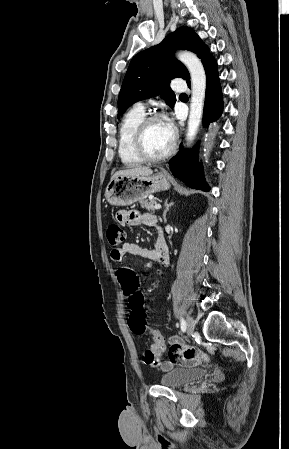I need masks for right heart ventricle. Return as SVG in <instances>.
<instances>
[{
    "mask_svg": "<svg viewBox=\"0 0 289 449\" xmlns=\"http://www.w3.org/2000/svg\"><path fill=\"white\" fill-rule=\"evenodd\" d=\"M145 118V111L134 107L123 118L119 131L118 153L123 164L135 166L143 162L134 149V135Z\"/></svg>",
    "mask_w": 289,
    "mask_h": 449,
    "instance_id": "right-heart-ventricle-1",
    "label": "right heart ventricle"
}]
</instances>
